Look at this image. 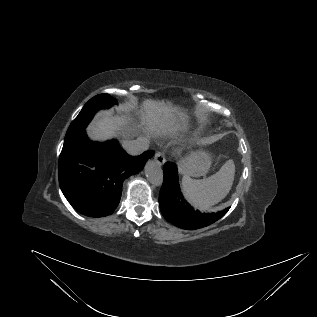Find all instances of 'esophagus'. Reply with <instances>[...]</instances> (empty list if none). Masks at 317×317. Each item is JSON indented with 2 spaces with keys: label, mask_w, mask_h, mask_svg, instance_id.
Listing matches in <instances>:
<instances>
[{
  "label": "esophagus",
  "mask_w": 317,
  "mask_h": 317,
  "mask_svg": "<svg viewBox=\"0 0 317 317\" xmlns=\"http://www.w3.org/2000/svg\"><path fill=\"white\" fill-rule=\"evenodd\" d=\"M154 160L160 165H164V163L166 162V157H165V153L163 151H159L155 154L154 156Z\"/></svg>",
  "instance_id": "34e87169"
}]
</instances>
